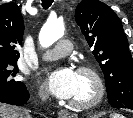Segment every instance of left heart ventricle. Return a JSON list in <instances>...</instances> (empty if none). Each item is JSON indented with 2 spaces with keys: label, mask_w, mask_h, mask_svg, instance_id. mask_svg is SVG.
Segmentation results:
<instances>
[{
  "label": "left heart ventricle",
  "mask_w": 133,
  "mask_h": 118,
  "mask_svg": "<svg viewBox=\"0 0 133 118\" xmlns=\"http://www.w3.org/2000/svg\"><path fill=\"white\" fill-rule=\"evenodd\" d=\"M93 93L94 87L92 81L87 76L78 73V88L72 100L86 101L92 97Z\"/></svg>",
  "instance_id": "obj_1"
}]
</instances>
